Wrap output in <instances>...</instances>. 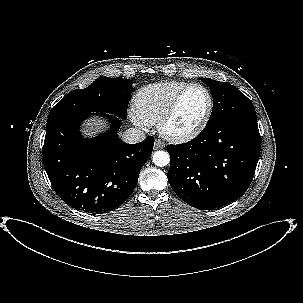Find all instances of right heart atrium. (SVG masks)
I'll list each match as a JSON object with an SVG mask.
<instances>
[{"label": "right heart atrium", "mask_w": 303, "mask_h": 303, "mask_svg": "<svg viewBox=\"0 0 303 303\" xmlns=\"http://www.w3.org/2000/svg\"><path fill=\"white\" fill-rule=\"evenodd\" d=\"M131 121L139 128H147L149 124L139 115V113L134 108H130L128 111Z\"/></svg>", "instance_id": "d8ad5b80"}]
</instances>
